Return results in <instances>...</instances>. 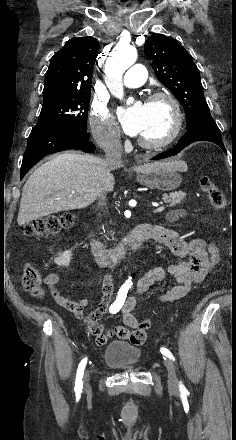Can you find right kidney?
Segmentation results:
<instances>
[{
  "mask_svg": "<svg viewBox=\"0 0 236 440\" xmlns=\"http://www.w3.org/2000/svg\"><path fill=\"white\" fill-rule=\"evenodd\" d=\"M58 255L59 256L54 259L55 263L59 266H69L72 257V252L68 250L59 253Z\"/></svg>",
  "mask_w": 236,
  "mask_h": 440,
  "instance_id": "right-kidney-1",
  "label": "right kidney"
}]
</instances>
